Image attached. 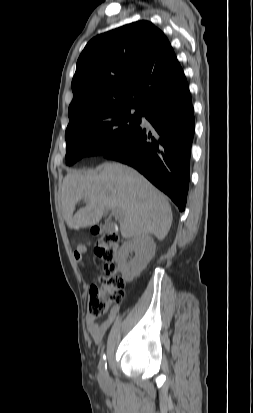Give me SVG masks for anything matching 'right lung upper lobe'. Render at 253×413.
<instances>
[{
    "label": "right lung upper lobe",
    "mask_w": 253,
    "mask_h": 413,
    "mask_svg": "<svg viewBox=\"0 0 253 413\" xmlns=\"http://www.w3.org/2000/svg\"><path fill=\"white\" fill-rule=\"evenodd\" d=\"M189 89L164 35L138 21L94 37L82 51L72 80L69 120L113 106L143 108L179 98Z\"/></svg>",
    "instance_id": "1"
}]
</instances>
